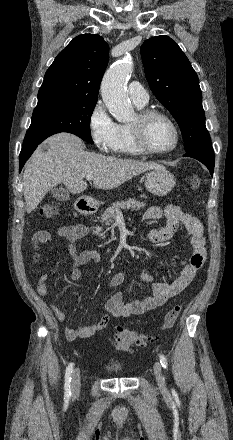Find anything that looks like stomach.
I'll list each match as a JSON object with an SVG mask.
<instances>
[{
    "mask_svg": "<svg viewBox=\"0 0 233 440\" xmlns=\"http://www.w3.org/2000/svg\"><path fill=\"white\" fill-rule=\"evenodd\" d=\"M176 179L165 167L153 169L146 175L147 191L157 196H165L175 187Z\"/></svg>",
    "mask_w": 233,
    "mask_h": 440,
    "instance_id": "obj_1",
    "label": "stomach"
}]
</instances>
